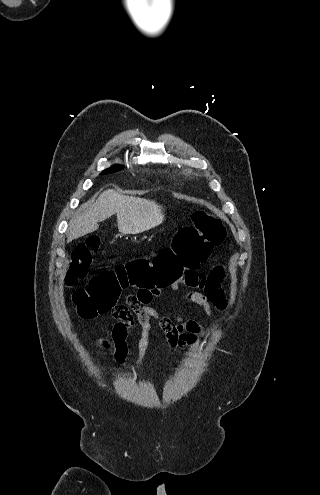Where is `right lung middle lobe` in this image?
I'll return each mask as SVG.
<instances>
[{"label": "right lung middle lobe", "mask_w": 320, "mask_h": 495, "mask_svg": "<svg viewBox=\"0 0 320 495\" xmlns=\"http://www.w3.org/2000/svg\"><path fill=\"white\" fill-rule=\"evenodd\" d=\"M122 168H123V166L116 165V166H113L112 168H108V169L104 170L102 173L104 174V173L115 172V171H118V170H120Z\"/></svg>", "instance_id": "1"}]
</instances>
